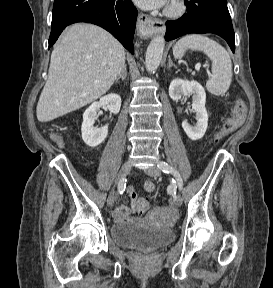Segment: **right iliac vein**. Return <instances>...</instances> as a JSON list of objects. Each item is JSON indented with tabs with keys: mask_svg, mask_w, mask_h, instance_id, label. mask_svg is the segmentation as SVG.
Wrapping results in <instances>:
<instances>
[{
	"mask_svg": "<svg viewBox=\"0 0 273 288\" xmlns=\"http://www.w3.org/2000/svg\"><path fill=\"white\" fill-rule=\"evenodd\" d=\"M132 169V163L130 161H127L125 162L120 171H119V174H118V177H117V182L120 184L121 180L129 174V172L131 171ZM114 200H115V194H114V191L111 192V194L109 195L108 197V200H107V204L109 207H112L113 204H114Z\"/></svg>",
	"mask_w": 273,
	"mask_h": 288,
	"instance_id": "obj_1",
	"label": "right iliac vein"
}]
</instances>
